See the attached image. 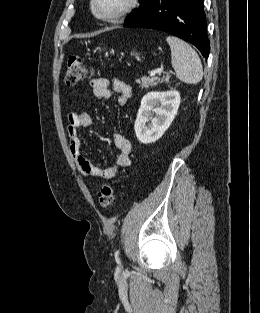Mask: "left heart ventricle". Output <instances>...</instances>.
Returning <instances> with one entry per match:
<instances>
[{
    "label": "left heart ventricle",
    "instance_id": "left-heart-ventricle-1",
    "mask_svg": "<svg viewBox=\"0 0 260 313\" xmlns=\"http://www.w3.org/2000/svg\"><path fill=\"white\" fill-rule=\"evenodd\" d=\"M128 0H97V9L103 15H112L122 10Z\"/></svg>",
    "mask_w": 260,
    "mask_h": 313
}]
</instances>
